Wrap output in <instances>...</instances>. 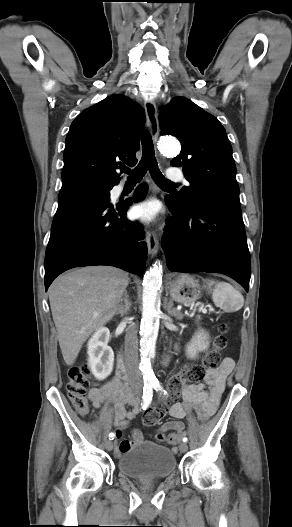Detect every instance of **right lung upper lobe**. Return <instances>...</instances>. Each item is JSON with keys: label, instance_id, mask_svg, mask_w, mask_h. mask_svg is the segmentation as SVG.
<instances>
[{"label": "right lung upper lobe", "instance_id": "cb5924a9", "mask_svg": "<svg viewBox=\"0 0 292 527\" xmlns=\"http://www.w3.org/2000/svg\"><path fill=\"white\" fill-rule=\"evenodd\" d=\"M144 122V109L122 95L109 96L82 111L66 137L62 182L85 178L118 184V165L137 163Z\"/></svg>", "mask_w": 292, "mask_h": 527}]
</instances>
